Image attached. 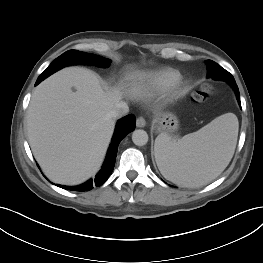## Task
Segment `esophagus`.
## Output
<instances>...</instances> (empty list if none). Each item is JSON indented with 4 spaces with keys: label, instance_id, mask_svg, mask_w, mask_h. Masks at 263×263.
Wrapping results in <instances>:
<instances>
[{
    "label": "esophagus",
    "instance_id": "34e87169",
    "mask_svg": "<svg viewBox=\"0 0 263 263\" xmlns=\"http://www.w3.org/2000/svg\"><path fill=\"white\" fill-rule=\"evenodd\" d=\"M146 125V120L143 117H138L136 120V126L142 128Z\"/></svg>",
    "mask_w": 263,
    "mask_h": 263
}]
</instances>
